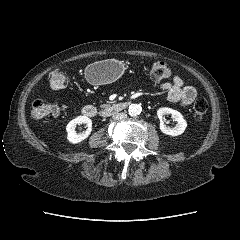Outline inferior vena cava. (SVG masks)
Returning <instances> with one entry per match:
<instances>
[{
	"mask_svg": "<svg viewBox=\"0 0 240 240\" xmlns=\"http://www.w3.org/2000/svg\"><path fill=\"white\" fill-rule=\"evenodd\" d=\"M126 117L127 115L125 113H115L112 116L114 120H121V119H125Z\"/></svg>",
	"mask_w": 240,
	"mask_h": 240,
	"instance_id": "inferior-vena-cava-1",
	"label": "inferior vena cava"
}]
</instances>
